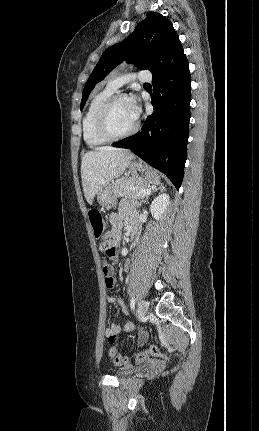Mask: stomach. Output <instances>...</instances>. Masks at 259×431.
I'll return each instance as SVG.
<instances>
[{
	"mask_svg": "<svg viewBox=\"0 0 259 431\" xmlns=\"http://www.w3.org/2000/svg\"><path fill=\"white\" fill-rule=\"evenodd\" d=\"M128 169L133 178L141 180L147 185L156 184L160 179L157 171L142 162L130 161ZM97 200L99 204L105 208L114 206L116 197L113 194L111 183L108 182L100 188L97 193Z\"/></svg>",
	"mask_w": 259,
	"mask_h": 431,
	"instance_id": "obj_1",
	"label": "stomach"
}]
</instances>
